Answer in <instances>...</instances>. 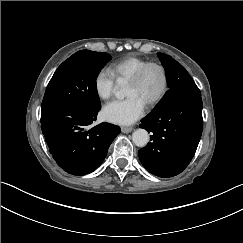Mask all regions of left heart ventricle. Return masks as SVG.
I'll use <instances>...</instances> for the list:
<instances>
[{"mask_svg": "<svg viewBox=\"0 0 243 243\" xmlns=\"http://www.w3.org/2000/svg\"><path fill=\"white\" fill-rule=\"evenodd\" d=\"M164 77L162 71L152 66L146 70L137 83H127L126 96L137 95L147 105L156 99L162 92Z\"/></svg>", "mask_w": 243, "mask_h": 243, "instance_id": "obj_1", "label": "left heart ventricle"}]
</instances>
